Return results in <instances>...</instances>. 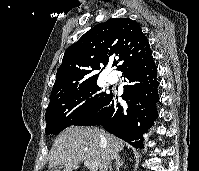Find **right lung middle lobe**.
I'll return each instance as SVG.
<instances>
[{"instance_id":"dd1d6c3e","label":"right lung middle lobe","mask_w":199,"mask_h":171,"mask_svg":"<svg viewBox=\"0 0 199 171\" xmlns=\"http://www.w3.org/2000/svg\"><path fill=\"white\" fill-rule=\"evenodd\" d=\"M99 90L95 81L49 105L45 113V132L57 134L97 107L108 95Z\"/></svg>"}]
</instances>
